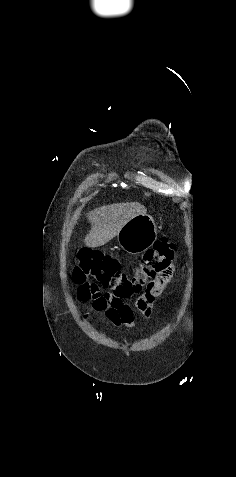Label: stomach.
I'll return each mask as SVG.
<instances>
[{
	"mask_svg": "<svg viewBox=\"0 0 236 477\" xmlns=\"http://www.w3.org/2000/svg\"><path fill=\"white\" fill-rule=\"evenodd\" d=\"M157 238L154 219L147 214L131 218L117 235L119 246L129 254H140L148 250Z\"/></svg>",
	"mask_w": 236,
	"mask_h": 477,
	"instance_id": "0dacf381",
	"label": "stomach"
}]
</instances>
